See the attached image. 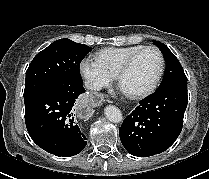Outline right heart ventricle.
Wrapping results in <instances>:
<instances>
[{"label": "right heart ventricle", "instance_id": "right-heart-ventricle-1", "mask_svg": "<svg viewBox=\"0 0 209 179\" xmlns=\"http://www.w3.org/2000/svg\"><path fill=\"white\" fill-rule=\"evenodd\" d=\"M144 45L107 47L94 55V62L110 78H114L123 63Z\"/></svg>", "mask_w": 209, "mask_h": 179}]
</instances>
